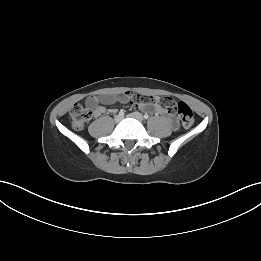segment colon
<instances>
[{"mask_svg": "<svg viewBox=\"0 0 261 261\" xmlns=\"http://www.w3.org/2000/svg\"><path fill=\"white\" fill-rule=\"evenodd\" d=\"M161 101L170 112L174 111L177 113L184 128L188 129L192 127L194 124V114L188 104L185 102L175 103L170 97H163ZM91 117L92 112L80 104H76L70 111L71 125L76 130H81Z\"/></svg>", "mask_w": 261, "mask_h": 261, "instance_id": "obj_1", "label": "colon"}]
</instances>
